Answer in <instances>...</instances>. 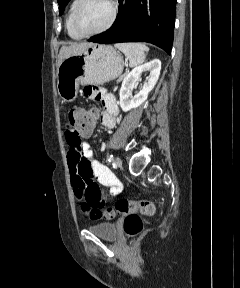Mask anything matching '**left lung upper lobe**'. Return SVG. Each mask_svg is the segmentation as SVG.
<instances>
[{
	"label": "left lung upper lobe",
	"mask_w": 240,
	"mask_h": 288,
	"mask_svg": "<svg viewBox=\"0 0 240 288\" xmlns=\"http://www.w3.org/2000/svg\"><path fill=\"white\" fill-rule=\"evenodd\" d=\"M70 0H58V4H59V13L60 15L62 14L66 4L69 2Z\"/></svg>",
	"instance_id": "left-lung-upper-lobe-1"
}]
</instances>
